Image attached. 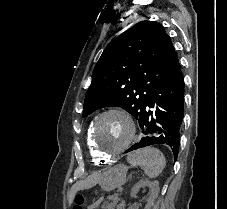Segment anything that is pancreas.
<instances>
[{
  "instance_id": "obj_1",
  "label": "pancreas",
  "mask_w": 227,
  "mask_h": 209,
  "mask_svg": "<svg viewBox=\"0 0 227 209\" xmlns=\"http://www.w3.org/2000/svg\"><path fill=\"white\" fill-rule=\"evenodd\" d=\"M108 199H111V197H108ZM105 207H108L107 209H115L114 207L116 206L115 204H111V203H108V204H105L104 205ZM104 209H106V208H104Z\"/></svg>"
}]
</instances>
